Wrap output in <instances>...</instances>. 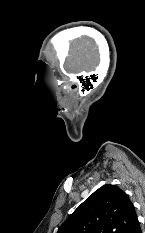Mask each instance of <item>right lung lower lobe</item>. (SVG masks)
Listing matches in <instances>:
<instances>
[{"label": "right lung lower lobe", "mask_w": 145, "mask_h": 233, "mask_svg": "<svg viewBox=\"0 0 145 233\" xmlns=\"http://www.w3.org/2000/svg\"><path fill=\"white\" fill-rule=\"evenodd\" d=\"M129 233H142L139 221L137 219V221L135 222V224L133 225L131 231Z\"/></svg>", "instance_id": "right-lung-lower-lobe-1"}]
</instances>
